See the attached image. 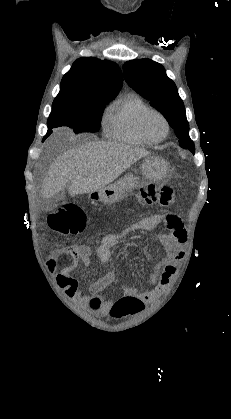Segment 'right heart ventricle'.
Returning a JSON list of instances; mask_svg holds the SVG:
<instances>
[{
    "label": "right heart ventricle",
    "mask_w": 231,
    "mask_h": 419,
    "mask_svg": "<svg viewBox=\"0 0 231 419\" xmlns=\"http://www.w3.org/2000/svg\"><path fill=\"white\" fill-rule=\"evenodd\" d=\"M149 106L137 95H127L110 107L104 123L108 138L134 145H145L149 142L143 138L138 129L140 116Z\"/></svg>",
    "instance_id": "obj_1"
}]
</instances>
